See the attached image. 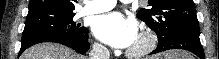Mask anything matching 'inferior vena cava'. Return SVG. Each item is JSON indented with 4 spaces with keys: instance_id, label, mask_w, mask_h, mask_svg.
I'll return each mask as SVG.
<instances>
[{
    "instance_id": "1",
    "label": "inferior vena cava",
    "mask_w": 219,
    "mask_h": 59,
    "mask_svg": "<svg viewBox=\"0 0 219 59\" xmlns=\"http://www.w3.org/2000/svg\"><path fill=\"white\" fill-rule=\"evenodd\" d=\"M109 58H110V53L105 46L101 44L93 45L92 50L89 53V59H109Z\"/></svg>"
}]
</instances>
